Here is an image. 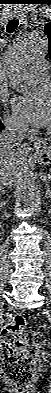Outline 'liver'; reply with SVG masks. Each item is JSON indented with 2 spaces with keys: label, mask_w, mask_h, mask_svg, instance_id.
<instances>
[{
  "label": "liver",
  "mask_w": 51,
  "mask_h": 393,
  "mask_svg": "<svg viewBox=\"0 0 51 393\" xmlns=\"http://www.w3.org/2000/svg\"><path fill=\"white\" fill-rule=\"evenodd\" d=\"M4 160L7 163L11 164L13 170L17 168V162L15 159V154L13 152L6 151L2 146L0 149V164L1 161Z\"/></svg>",
  "instance_id": "1"
}]
</instances>
